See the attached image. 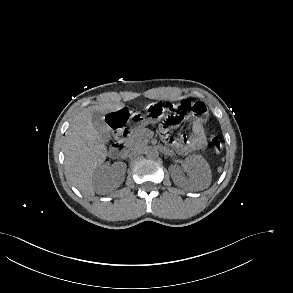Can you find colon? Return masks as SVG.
<instances>
[{
    "mask_svg": "<svg viewBox=\"0 0 293 293\" xmlns=\"http://www.w3.org/2000/svg\"><path fill=\"white\" fill-rule=\"evenodd\" d=\"M169 115L161 123V131L166 136H171V130L175 129L181 125L186 117L193 116L200 118L202 120L207 117V107L201 102H193L189 99H181L171 102L168 105ZM127 115L124 111H118L112 113L110 116V125L112 127V140L118 142L121 132L120 127L125 123ZM184 136L178 137V139H183ZM210 143L212 149L216 154H220L223 150V144L220 138L216 135L210 136Z\"/></svg>",
    "mask_w": 293,
    "mask_h": 293,
    "instance_id": "obj_1",
    "label": "colon"
}]
</instances>
